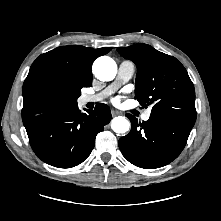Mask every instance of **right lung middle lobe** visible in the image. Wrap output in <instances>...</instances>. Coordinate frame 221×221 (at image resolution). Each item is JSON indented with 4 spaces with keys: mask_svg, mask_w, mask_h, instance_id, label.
Listing matches in <instances>:
<instances>
[{
    "mask_svg": "<svg viewBox=\"0 0 221 221\" xmlns=\"http://www.w3.org/2000/svg\"><path fill=\"white\" fill-rule=\"evenodd\" d=\"M82 87H83V86H79V85L73 87V89H72V100H71V103H75L76 100H77V98L81 95L80 90H81Z\"/></svg>",
    "mask_w": 221,
    "mask_h": 221,
    "instance_id": "dd1d6c3e",
    "label": "right lung middle lobe"
}]
</instances>
